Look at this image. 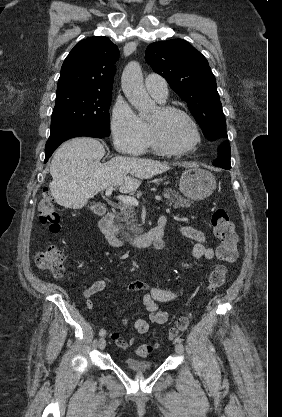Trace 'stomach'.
<instances>
[{
	"label": "stomach",
	"mask_w": 282,
	"mask_h": 417,
	"mask_svg": "<svg viewBox=\"0 0 282 417\" xmlns=\"http://www.w3.org/2000/svg\"><path fill=\"white\" fill-rule=\"evenodd\" d=\"M180 190L191 200H203L212 194L216 188V178L205 168H187L181 174Z\"/></svg>",
	"instance_id": "1"
}]
</instances>
